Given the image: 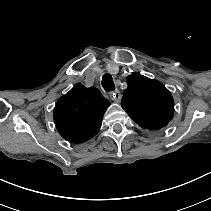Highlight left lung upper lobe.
I'll return each instance as SVG.
<instances>
[{
	"instance_id": "1",
	"label": "left lung upper lobe",
	"mask_w": 211,
	"mask_h": 211,
	"mask_svg": "<svg viewBox=\"0 0 211 211\" xmlns=\"http://www.w3.org/2000/svg\"><path fill=\"white\" fill-rule=\"evenodd\" d=\"M121 106L140 127L159 130L173 118L174 100L169 90L158 80L139 73L127 77Z\"/></svg>"
}]
</instances>
